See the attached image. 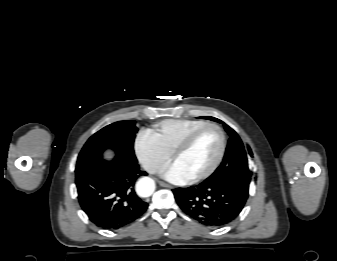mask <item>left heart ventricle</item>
<instances>
[{
    "instance_id": "b2bd125f",
    "label": "left heart ventricle",
    "mask_w": 337,
    "mask_h": 261,
    "mask_svg": "<svg viewBox=\"0 0 337 261\" xmlns=\"http://www.w3.org/2000/svg\"><path fill=\"white\" fill-rule=\"evenodd\" d=\"M220 135L214 129L203 131L192 145L174 161L190 176L194 177L210 167L220 149Z\"/></svg>"
}]
</instances>
